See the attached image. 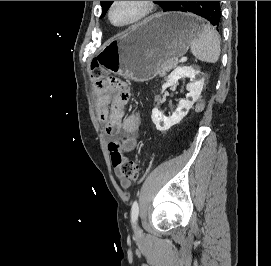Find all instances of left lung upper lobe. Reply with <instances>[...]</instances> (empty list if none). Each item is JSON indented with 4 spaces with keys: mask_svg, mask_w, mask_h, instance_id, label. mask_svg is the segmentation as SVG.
Here are the masks:
<instances>
[{
    "mask_svg": "<svg viewBox=\"0 0 271 266\" xmlns=\"http://www.w3.org/2000/svg\"><path fill=\"white\" fill-rule=\"evenodd\" d=\"M157 2L162 8H164L170 1H155ZM113 3V1H101L102 6V15L100 17H103L110 5Z\"/></svg>",
    "mask_w": 271,
    "mask_h": 266,
    "instance_id": "left-lung-upper-lobe-1",
    "label": "left lung upper lobe"
}]
</instances>
